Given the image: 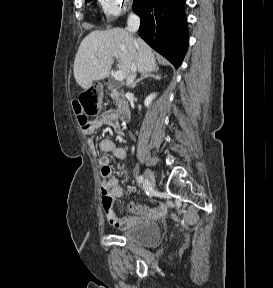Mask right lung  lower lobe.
Instances as JSON below:
<instances>
[{
    "mask_svg": "<svg viewBox=\"0 0 273 288\" xmlns=\"http://www.w3.org/2000/svg\"><path fill=\"white\" fill-rule=\"evenodd\" d=\"M185 0H134L139 34L154 50L178 68L188 47Z\"/></svg>",
    "mask_w": 273,
    "mask_h": 288,
    "instance_id": "right-lung-lower-lobe-1",
    "label": "right lung lower lobe"
}]
</instances>
